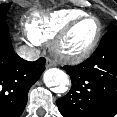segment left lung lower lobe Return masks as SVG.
I'll use <instances>...</instances> for the list:
<instances>
[{
  "label": "left lung lower lobe",
  "mask_w": 117,
  "mask_h": 117,
  "mask_svg": "<svg viewBox=\"0 0 117 117\" xmlns=\"http://www.w3.org/2000/svg\"><path fill=\"white\" fill-rule=\"evenodd\" d=\"M64 68L72 82L67 95L57 99L64 117H114L117 114V26L106 32L87 60Z\"/></svg>",
  "instance_id": "left-lung-lower-lobe-1"
}]
</instances>
